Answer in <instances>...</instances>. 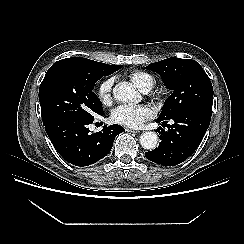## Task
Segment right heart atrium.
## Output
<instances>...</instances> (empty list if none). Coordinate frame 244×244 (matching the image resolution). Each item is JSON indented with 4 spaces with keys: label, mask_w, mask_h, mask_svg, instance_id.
Segmentation results:
<instances>
[{
    "label": "right heart atrium",
    "mask_w": 244,
    "mask_h": 244,
    "mask_svg": "<svg viewBox=\"0 0 244 244\" xmlns=\"http://www.w3.org/2000/svg\"><path fill=\"white\" fill-rule=\"evenodd\" d=\"M112 85L113 80L109 78L103 81L98 87L97 97L104 106H110L112 104Z\"/></svg>",
    "instance_id": "d8ad5b80"
}]
</instances>
